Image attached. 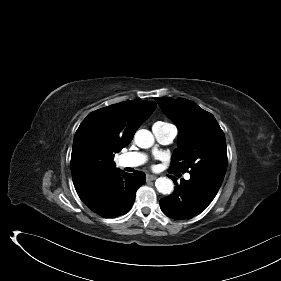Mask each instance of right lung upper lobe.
<instances>
[{
  "label": "right lung upper lobe",
  "instance_id": "obj_1",
  "mask_svg": "<svg viewBox=\"0 0 281 281\" xmlns=\"http://www.w3.org/2000/svg\"><path fill=\"white\" fill-rule=\"evenodd\" d=\"M153 101L133 100L91 112L74 137L71 172L77 193L115 171L114 153L127 146L139 126L153 113Z\"/></svg>",
  "mask_w": 281,
  "mask_h": 281
}]
</instances>
